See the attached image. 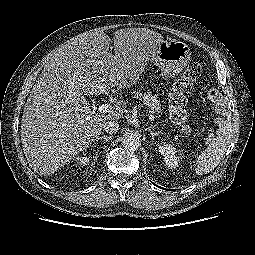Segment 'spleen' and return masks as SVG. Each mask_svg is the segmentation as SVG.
<instances>
[{
	"label": "spleen",
	"mask_w": 255,
	"mask_h": 255,
	"mask_svg": "<svg viewBox=\"0 0 255 255\" xmlns=\"http://www.w3.org/2000/svg\"><path fill=\"white\" fill-rule=\"evenodd\" d=\"M218 125L219 128L216 131V137L196 159L195 172L198 175H203L214 170L222 160L231 143L233 137L231 122L228 119L221 118L218 121Z\"/></svg>",
	"instance_id": "obj_1"
}]
</instances>
